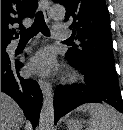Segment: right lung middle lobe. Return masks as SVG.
Returning a JSON list of instances; mask_svg holds the SVG:
<instances>
[{
    "mask_svg": "<svg viewBox=\"0 0 123 130\" xmlns=\"http://www.w3.org/2000/svg\"><path fill=\"white\" fill-rule=\"evenodd\" d=\"M6 47H7V44H2L1 45V53L6 52Z\"/></svg>",
    "mask_w": 123,
    "mask_h": 130,
    "instance_id": "1",
    "label": "right lung middle lobe"
}]
</instances>
